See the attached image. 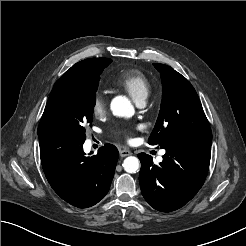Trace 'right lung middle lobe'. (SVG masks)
<instances>
[{"label":"right lung middle lobe","mask_w":246,"mask_h":246,"mask_svg":"<svg viewBox=\"0 0 246 246\" xmlns=\"http://www.w3.org/2000/svg\"><path fill=\"white\" fill-rule=\"evenodd\" d=\"M111 62L109 58H91L81 74L56 83L42 115L38 135L75 134L86 139L84 125H92L100 74Z\"/></svg>","instance_id":"1"}]
</instances>
